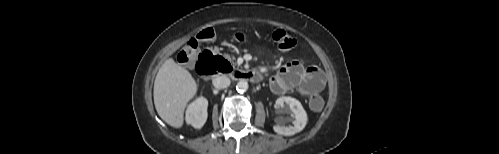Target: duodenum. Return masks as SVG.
Returning a JSON list of instances; mask_svg holds the SVG:
<instances>
[{"label":"duodenum","mask_w":499,"mask_h":154,"mask_svg":"<svg viewBox=\"0 0 499 154\" xmlns=\"http://www.w3.org/2000/svg\"><path fill=\"white\" fill-rule=\"evenodd\" d=\"M213 56L214 55L212 53H208V59L201 60L199 62L198 72L202 76L209 77L214 74V64L212 63V60H214ZM228 73L229 77L235 81H249L252 83H259L263 79L261 73L252 70H230Z\"/></svg>","instance_id":"1"}]
</instances>
